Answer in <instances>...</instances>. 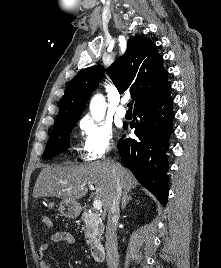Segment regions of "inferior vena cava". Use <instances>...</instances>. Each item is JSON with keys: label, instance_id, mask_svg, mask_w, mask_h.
<instances>
[{"label": "inferior vena cava", "instance_id": "1", "mask_svg": "<svg viewBox=\"0 0 221 268\" xmlns=\"http://www.w3.org/2000/svg\"><path fill=\"white\" fill-rule=\"evenodd\" d=\"M122 195V186L119 182L116 166H112V188L110 193V202L108 207V222L106 226V260L108 268H118V249H117V223L120 215V198Z\"/></svg>", "mask_w": 221, "mask_h": 268}]
</instances>
